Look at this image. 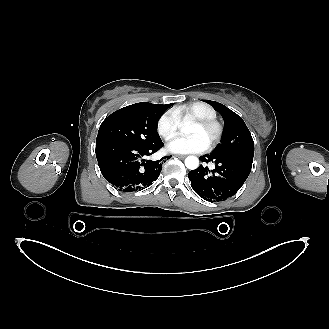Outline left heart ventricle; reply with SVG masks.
Returning <instances> with one entry per match:
<instances>
[{
  "mask_svg": "<svg viewBox=\"0 0 329 329\" xmlns=\"http://www.w3.org/2000/svg\"><path fill=\"white\" fill-rule=\"evenodd\" d=\"M187 134L189 136L191 135H198L200 136L207 144L210 143V141L212 140L213 136H214V131L212 129H206V128H202L196 124H192L189 129Z\"/></svg>",
  "mask_w": 329,
  "mask_h": 329,
  "instance_id": "obj_1",
  "label": "left heart ventricle"
}]
</instances>
